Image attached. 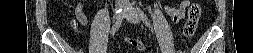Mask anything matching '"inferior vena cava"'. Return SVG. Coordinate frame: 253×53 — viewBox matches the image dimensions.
Returning <instances> with one entry per match:
<instances>
[{"instance_id":"inferior-vena-cava-1","label":"inferior vena cava","mask_w":253,"mask_h":53,"mask_svg":"<svg viewBox=\"0 0 253 53\" xmlns=\"http://www.w3.org/2000/svg\"><path fill=\"white\" fill-rule=\"evenodd\" d=\"M123 2H129V0H122Z\"/></svg>"}]
</instances>
